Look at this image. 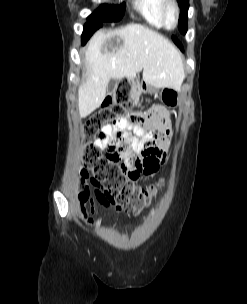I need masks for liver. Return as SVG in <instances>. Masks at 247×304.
<instances>
[{"label": "liver", "instance_id": "6515ba94", "mask_svg": "<svg viewBox=\"0 0 247 304\" xmlns=\"http://www.w3.org/2000/svg\"><path fill=\"white\" fill-rule=\"evenodd\" d=\"M86 73L78 91L80 117H87L106 97L111 78L135 77L156 88L180 90L185 77L181 54L164 36L140 24L96 32L85 50Z\"/></svg>", "mask_w": 247, "mask_h": 304}]
</instances>
